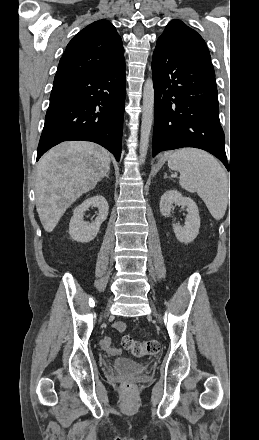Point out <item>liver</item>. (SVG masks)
Listing matches in <instances>:
<instances>
[{
  "label": "liver",
  "mask_w": 259,
  "mask_h": 440,
  "mask_svg": "<svg viewBox=\"0 0 259 440\" xmlns=\"http://www.w3.org/2000/svg\"><path fill=\"white\" fill-rule=\"evenodd\" d=\"M110 153L87 141H67L40 159L36 170V209L46 232H52L65 211L92 190L110 170Z\"/></svg>",
  "instance_id": "obj_1"
}]
</instances>
